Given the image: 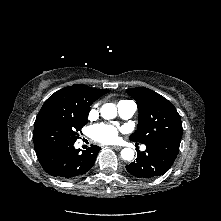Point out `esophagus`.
<instances>
[{"mask_svg":"<svg viewBox=\"0 0 221 221\" xmlns=\"http://www.w3.org/2000/svg\"><path fill=\"white\" fill-rule=\"evenodd\" d=\"M111 148L114 149V150H120L121 149L120 146H111Z\"/></svg>","mask_w":221,"mask_h":221,"instance_id":"esophagus-1","label":"esophagus"}]
</instances>
